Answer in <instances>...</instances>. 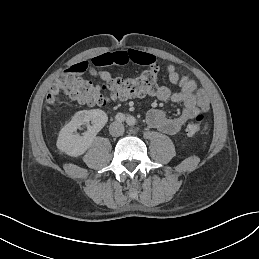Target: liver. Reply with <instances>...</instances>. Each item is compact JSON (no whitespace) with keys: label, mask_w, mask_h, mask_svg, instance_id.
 I'll list each match as a JSON object with an SVG mask.
<instances>
[{"label":"liver","mask_w":259,"mask_h":259,"mask_svg":"<svg viewBox=\"0 0 259 259\" xmlns=\"http://www.w3.org/2000/svg\"><path fill=\"white\" fill-rule=\"evenodd\" d=\"M60 102H61V96H60V95H57V96L55 97V107H57Z\"/></svg>","instance_id":"6515ba94"}]
</instances>
